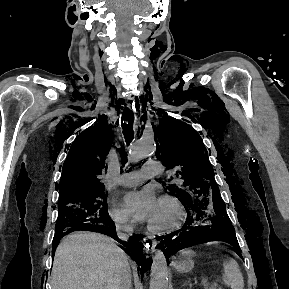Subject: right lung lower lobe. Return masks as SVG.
<instances>
[{"label":"right lung lower lobe","mask_w":289,"mask_h":289,"mask_svg":"<svg viewBox=\"0 0 289 289\" xmlns=\"http://www.w3.org/2000/svg\"><path fill=\"white\" fill-rule=\"evenodd\" d=\"M93 231V232H99L105 235H108L115 239L116 241L120 242L123 246L126 247V252L128 255L139 265L142 266L141 272L143 269L147 268L149 265L148 263L144 260L145 257L142 254V249H143V244L141 243V235L134 234L133 236L130 237L129 242H124L121 241L116 233V228L114 222L111 220V218L108 216H104L101 218H89L86 220L81 221L79 224L76 226H73L68 233H71L73 231ZM66 233V234H68ZM65 234V235H66ZM64 236V235H63ZM63 236H56L54 237V242H53V251L52 254L54 256L56 246L58 245L59 240Z\"/></svg>","instance_id":"98d812e1"}]
</instances>
